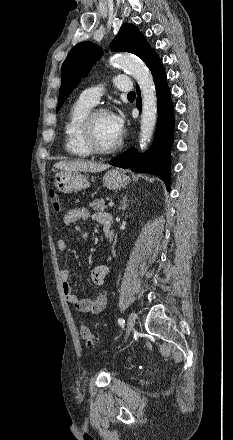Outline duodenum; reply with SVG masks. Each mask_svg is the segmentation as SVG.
Returning <instances> with one entry per match:
<instances>
[{"instance_id": "duodenum-1", "label": "duodenum", "mask_w": 233, "mask_h": 440, "mask_svg": "<svg viewBox=\"0 0 233 440\" xmlns=\"http://www.w3.org/2000/svg\"><path fill=\"white\" fill-rule=\"evenodd\" d=\"M102 226L104 229V233L107 237H110L111 235V230H112V226H113V219L112 216H107L103 219L102 221Z\"/></svg>"}]
</instances>
